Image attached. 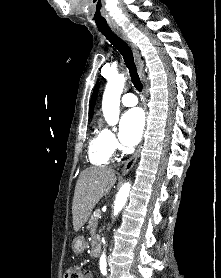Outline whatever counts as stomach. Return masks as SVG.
I'll use <instances>...</instances> for the list:
<instances>
[{
	"label": "stomach",
	"mask_w": 221,
	"mask_h": 278,
	"mask_svg": "<svg viewBox=\"0 0 221 278\" xmlns=\"http://www.w3.org/2000/svg\"><path fill=\"white\" fill-rule=\"evenodd\" d=\"M85 249V241L83 237H77L72 242V250L75 254H81Z\"/></svg>",
	"instance_id": "stomach-1"
}]
</instances>
